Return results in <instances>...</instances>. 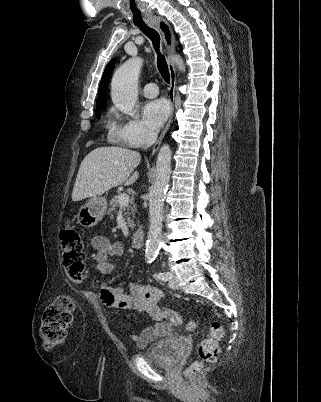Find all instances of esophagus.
<instances>
[{
    "label": "esophagus",
    "instance_id": "34e87169",
    "mask_svg": "<svg viewBox=\"0 0 321 402\" xmlns=\"http://www.w3.org/2000/svg\"><path fill=\"white\" fill-rule=\"evenodd\" d=\"M152 26L157 27V29L160 31L162 34L163 38V43L167 52V64H168V69L170 73V86H169V103H170V115L168 122L163 129L162 133L160 134L158 140L155 142L152 151H151V157L155 155L157 152L166 132L168 131L170 124L173 119L174 115V109H175V88H176V68L175 64L172 59V55L175 52L176 48V39L174 36V33L172 31V28L170 24L161 17H156L154 20L150 22Z\"/></svg>",
    "mask_w": 321,
    "mask_h": 402
}]
</instances>
